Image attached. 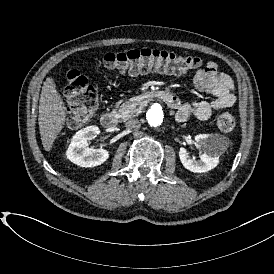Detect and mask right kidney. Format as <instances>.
<instances>
[{
    "instance_id": "right-kidney-1",
    "label": "right kidney",
    "mask_w": 274,
    "mask_h": 274,
    "mask_svg": "<svg viewBox=\"0 0 274 274\" xmlns=\"http://www.w3.org/2000/svg\"><path fill=\"white\" fill-rule=\"evenodd\" d=\"M100 133L97 126H87L75 133L66 151L67 158L80 167H94L101 165L109 158V152L105 149H92L88 147V141Z\"/></svg>"
}]
</instances>
